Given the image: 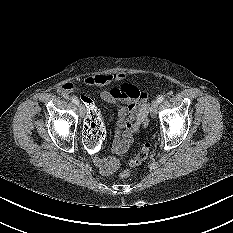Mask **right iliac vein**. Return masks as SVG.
I'll return each mask as SVG.
<instances>
[{"mask_svg":"<svg viewBox=\"0 0 233 233\" xmlns=\"http://www.w3.org/2000/svg\"><path fill=\"white\" fill-rule=\"evenodd\" d=\"M78 107H79L80 116L84 117V115L86 113V109H85L84 105L78 104Z\"/></svg>","mask_w":233,"mask_h":233,"instance_id":"obj_1","label":"right iliac vein"}]
</instances>
